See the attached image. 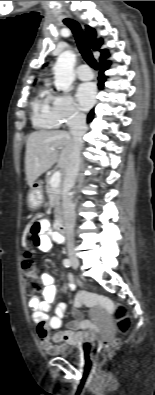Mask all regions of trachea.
Masks as SVG:
<instances>
[{
  "label": "trachea",
  "mask_w": 155,
  "mask_h": 395,
  "mask_svg": "<svg viewBox=\"0 0 155 395\" xmlns=\"http://www.w3.org/2000/svg\"><path fill=\"white\" fill-rule=\"evenodd\" d=\"M63 22L71 29L78 49L82 54L84 60L94 69L97 70V62L93 57L92 52L90 51L89 44L87 42V38L81 28V26L74 20L65 18Z\"/></svg>",
  "instance_id": "trachea-1"
}]
</instances>
